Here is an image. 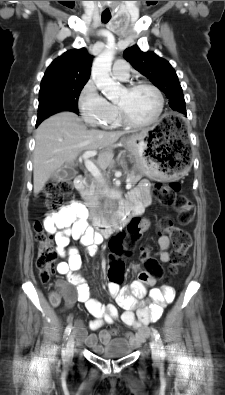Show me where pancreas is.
<instances>
[{"mask_svg": "<svg viewBox=\"0 0 225 395\" xmlns=\"http://www.w3.org/2000/svg\"><path fill=\"white\" fill-rule=\"evenodd\" d=\"M142 178L141 174L131 173L128 175L129 182L132 186ZM81 197L85 200L86 206L91 210L99 208L101 206L100 200L104 197V191L102 187L96 183L92 182L88 188L80 191Z\"/></svg>", "mask_w": 225, "mask_h": 395, "instance_id": "obj_1", "label": "pancreas"}]
</instances>
